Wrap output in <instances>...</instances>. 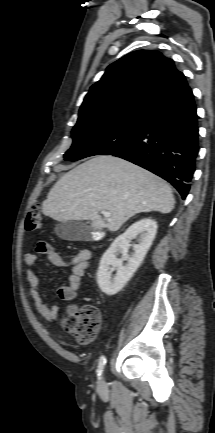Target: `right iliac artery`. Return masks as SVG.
<instances>
[{
  "label": "right iliac artery",
  "mask_w": 215,
  "mask_h": 433,
  "mask_svg": "<svg viewBox=\"0 0 215 433\" xmlns=\"http://www.w3.org/2000/svg\"><path fill=\"white\" fill-rule=\"evenodd\" d=\"M105 364H106V358H105V356H101L99 359L98 369H97V373H98L97 375H98L99 379H100V375L104 369Z\"/></svg>",
  "instance_id": "82829eb1"
}]
</instances>
